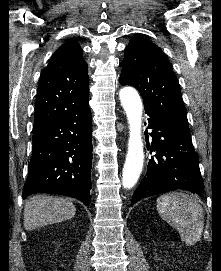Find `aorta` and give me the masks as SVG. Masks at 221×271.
I'll return each mask as SVG.
<instances>
[{
  "instance_id": "aorta-1",
  "label": "aorta",
  "mask_w": 221,
  "mask_h": 271,
  "mask_svg": "<svg viewBox=\"0 0 221 271\" xmlns=\"http://www.w3.org/2000/svg\"><path fill=\"white\" fill-rule=\"evenodd\" d=\"M121 104L129 124L128 151L122 173V185L130 189L137 183L144 163L142 140V100L132 87H124L119 92Z\"/></svg>"
}]
</instances>
